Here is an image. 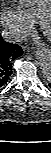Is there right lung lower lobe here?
I'll return each mask as SVG.
<instances>
[{"label":"right lung lower lobe","mask_w":51,"mask_h":153,"mask_svg":"<svg viewBox=\"0 0 51 153\" xmlns=\"http://www.w3.org/2000/svg\"><path fill=\"white\" fill-rule=\"evenodd\" d=\"M22 54L19 45L7 43L0 36V87L8 82L12 74V62Z\"/></svg>","instance_id":"obj_1"}]
</instances>
